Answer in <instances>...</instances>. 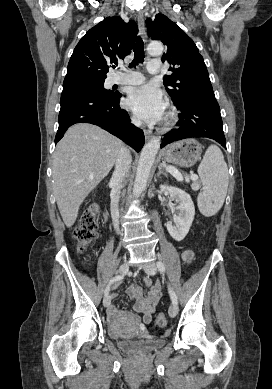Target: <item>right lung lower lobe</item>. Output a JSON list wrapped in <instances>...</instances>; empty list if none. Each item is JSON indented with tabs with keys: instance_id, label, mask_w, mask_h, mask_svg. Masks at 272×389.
<instances>
[{
	"instance_id": "98d812e1",
	"label": "right lung lower lobe",
	"mask_w": 272,
	"mask_h": 389,
	"mask_svg": "<svg viewBox=\"0 0 272 389\" xmlns=\"http://www.w3.org/2000/svg\"><path fill=\"white\" fill-rule=\"evenodd\" d=\"M121 96L118 92L108 96L86 90L62 91L55 144L69 126L86 122L100 126L139 152L145 142L144 134L130 123L127 111L119 107Z\"/></svg>"
}]
</instances>
